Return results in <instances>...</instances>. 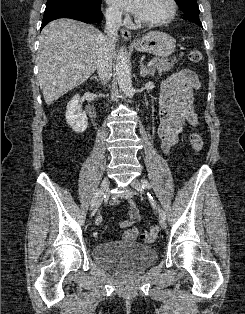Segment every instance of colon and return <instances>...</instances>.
I'll use <instances>...</instances> for the list:
<instances>
[{"label":"colon","instance_id":"1","mask_svg":"<svg viewBox=\"0 0 245 314\" xmlns=\"http://www.w3.org/2000/svg\"><path fill=\"white\" fill-rule=\"evenodd\" d=\"M188 59L193 63H197L202 59V54L199 50L192 49L188 53ZM189 140H190L191 147L195 153H198L199 151H201L203 147V140L199 134L192 133L190 135ZM157 235H158V228L154 226L150 230L143 232L140 235V240L146 243H151L156 239Z\"/></svg>","mask_w":245,"mask_h":314}]
</instances>
